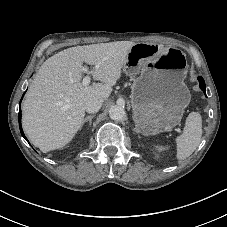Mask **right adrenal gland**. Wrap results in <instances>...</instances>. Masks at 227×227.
<instances>
[{"label": "right adrenal gland", "mask_w": 227, "mask_h": 227, "mask_svg": "<svg viewBox=\"0 0 227 227\" xmlns=\"http://www.w3.org/2000/svg\"><path fill=\"white\" fill-rule=\"evenodd\" d=\"M95 115H88V116H86L85 117V119L83 120V125L86 123V122H89V126H91V121H92V119H93V117H94Z\"/></svg>", "instance_id": "right-adrenal-gland-1"}]
</instances>
